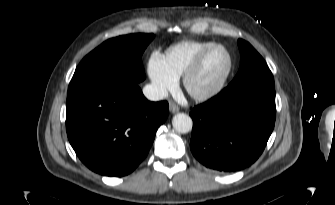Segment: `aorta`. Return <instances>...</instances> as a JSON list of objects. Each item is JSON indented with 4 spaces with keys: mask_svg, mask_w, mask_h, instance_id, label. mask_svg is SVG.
Wrapping results in <instances>:
<instances>
[{
    "mask_svg": "<svg viewBox=\"0 0 335 205\" xmlns=\"http://www.w3.org/2000/svg\"><path fill=\"white\" fill-rule=\"evenodd\" d=\"M172 125L177 132L188 133L192 130L193 121L187 114L178 113L173 117Z\"/></svg>",
    "mask_w": 335,
    "mask_h": 205,
    "instance_id": "obj_1",
    "label": "aorta"
}]
</instances>
